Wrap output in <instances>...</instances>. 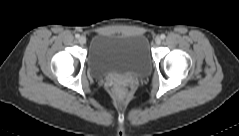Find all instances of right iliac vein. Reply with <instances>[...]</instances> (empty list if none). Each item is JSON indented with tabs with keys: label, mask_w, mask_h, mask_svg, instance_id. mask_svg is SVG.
I'll return each mask as SVG.
<instances>
[{
	"label": "right iliac vein",
	"mask_w": 239,
	"mask_h": 136,
	"mask_svg": "<svg viewBox=\"0 0 239 136\" xmlns=\"http://www.w3.org/2000/svg\"><path fill=\"white\" fill-rule=\"evenodd\" d=\"M86 41H87V39H86L85 36H81V37H79V43H80L81 45L86 44Z\"/></svg>",
	"instance_id": "obj_1"
}]
</instances>
